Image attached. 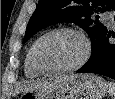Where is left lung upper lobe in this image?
Returning a JSON list of instances; mask_svg holds the SVG:
<instances>
[{
    "mask_svg": "<svg viewBox=\"0 0 115 99\" xmlns=\"http://www.w3.org/2000/svg\"><path fill=\"white\" fill-rule=\"evenodd\" d=\"M110 10H115V0H39L36 10L29 20L23 42L49 25L73 22L88 33L93 52L107 28L91 18L96 13Z\"/></svg>",
    "mask_w": 115,
    "mask_h": 99,
    "instance_id": "left-lung-upper-lobe-1",
    "label": "left lung upper lobe"
}]
</instances>
